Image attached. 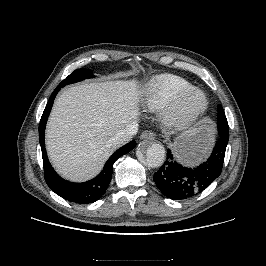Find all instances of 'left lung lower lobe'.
<instances>
[{
	"mask_svg": "<svg viewBox=\"0 0 266 266\" xmlns=\"http://www.w3.org/2000/svg\"><path fill=\"white\" fill-rule=\"evenodd\" d=\"M219 140L211 156L195 168L180 165L170 149L167 159L161 168L154 173L153 179L159 190L168 198L183 200L194 197L205 190L221 174L226 146L229 140V129L222 123L218 127Z\"/></svg>",
	"mask_w": 266,
	"mask_h": 266,
	"instance_id": "obj_1",
	"label": "left lung lower lobe"
}]
</instances>
